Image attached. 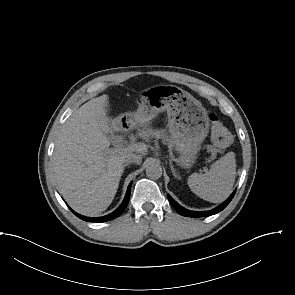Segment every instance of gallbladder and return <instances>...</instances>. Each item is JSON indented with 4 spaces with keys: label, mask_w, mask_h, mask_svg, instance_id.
I'll use <instances>...</instances> for the list:
<instances>
[{
    "label": "gallbladder",
    "mask_w": 295,
    "mask_h": 295,
    "mask_svg": "<svg viewBox=\"0 0 295 295\" xmlns=\"http://www.w3.org/2000/svg\"><path fill=\"white\" fill-rule=\"evenodd\" d=\"M108 138H109V139H111V138H112V136H111V135H108Z\"/></svg>",
    "instance_id": "gallbladder-1"
}]
</instances>
